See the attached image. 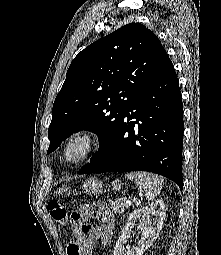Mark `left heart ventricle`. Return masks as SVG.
I'll return each instance as SVG.
<instances>
[{"instance_id":"b2bd125f","label":"left heart ventricle","mask_w":221,"mask_h":255,"mask_svg":"<svg viewBox=\"0 0 221 255\" xmlns=\"http://www.w3.org/2000/svg\"><path fill=\"white\" fill-rule=\"evenodd\" d=\"M82 152H83V145L77 144L69 150L68 157L69 159L74 160L77 157H79Z\"/></svg>"}]
</instances>
